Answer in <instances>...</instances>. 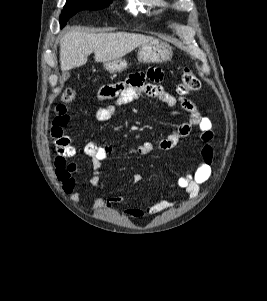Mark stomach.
I'll return each instance as SVG.
<instances>
[{"label":"stomach","mask_w":267,"mask_h":301,"mask_svg":"<svg viewBox=\"0 0 267 301\" xmlns=\"http://www.w3.org/2000/svg\"><path fill=\"white\" fill-rule=\"evenodd\" d=\"M172 55L173 49L167 42L154 39L139 47L138 60L142 63H164L170 61ZM103 66L109 73H120L127 68V62L119 58L104 62Z\"/></svg>","instance_id":"0dacf381"}]
</instances>
